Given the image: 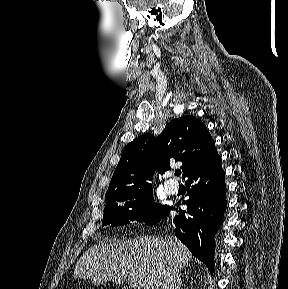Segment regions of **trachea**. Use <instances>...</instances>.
<instances>
[{"mask_svg":"<svg viewBox=\"0 0 288 289\" xmlns=\"http://www.w3.org/2000/svg\"><path fill=\"white\" fill-rule=\"evenodd\" d=\"M181 173H182L181 170H176L175 175H176V176H180Z\"/></svg>","mask_w":288,"mask_h":289,"instance_id":"trachea-1","label":"trachea"}]
</instances>
